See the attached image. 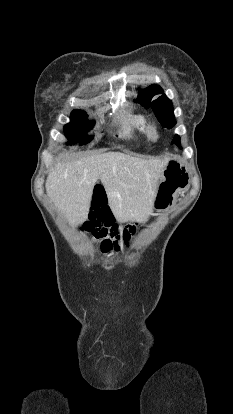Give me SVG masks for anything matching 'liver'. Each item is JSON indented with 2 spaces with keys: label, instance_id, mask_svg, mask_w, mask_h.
Returning a JSON list of instances; mask_svg holds the SVG:
<instances>
[{
  "label": "liver",
  "instance_id": "6515ba94",
  "mask_svg": "<svg viewBox=\"0 0 233 414\" xmlns=\"http://www.w3.org/2000/svg\"><path fill=\"white\" fill-rule=\"evenodd\" d=\"M169 158L142 159L121 152L57 162L46 180V192L72 224L87 219L98 180L109 206L123 223L142 221L152 212L158 183Z\"/></svg>",
  "mask_w": 233,
  "mask_h": 414
}]
</instances>
